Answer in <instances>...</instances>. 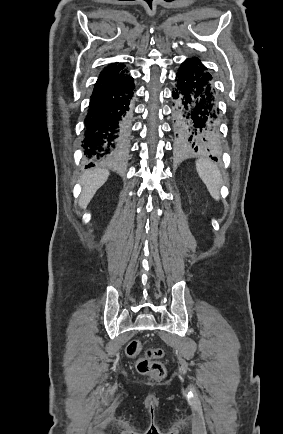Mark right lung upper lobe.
<instances>
[{
  "label": "right lung upper lobe",
  "mask_w": 283,
  "mask_h": 434,
  "mask_svg": "<svg viewBox=\"0 0 283 434\" xmlns=\"http://www.w3.org/2000/svg\"><path fill=\"white\" fill-rule=\"evenodd\" d=\"M129 77L130 76L125 74V69L122 64H111L101 72L99 79L94 85V91L116 86Z\"/></svg>",
  "instance_id": "right-lung-upper-lobe-1"
}]
</instances>
